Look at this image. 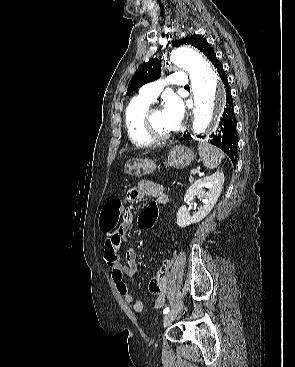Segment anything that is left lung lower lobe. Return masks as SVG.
Wrapping results in <instances>:
<instances>
[{
    "label": "left lung lower lobe",
    "mask_w": 295,
    "mask_h": 367,
    "mask_svg": "<svg viewBox=\"0 0 295 367\" xmlns=\"http://www.w3.org/2000/svg\"><path fill=\"white\" fill-rule=\"evenodd\" d=\"M226 89L225 109L219 123L218 129L212 133L209 142L222 149L231 159L233 165L237 162V143L238 136L236 131V119L234 115V106L231 96V88L228 84L227 75L223 70L221 62L216 58L212 61ZM201 137V136H200ZM192 139L189 132H185L180 140Z\"/></svg>",
    "instance_id": "obj_1"
}]
</instances>
